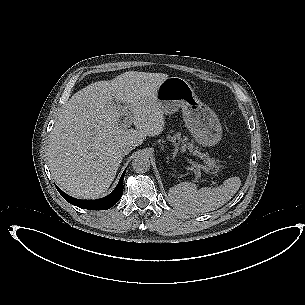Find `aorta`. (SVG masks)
Masks as SVG:
<instances>
[{"label": "aorta", "mask_w": 305, "mask_h": 305, "mask_svg": "<svg viewBox=\"0 0 305 305\" xmlns=\"http://www.w3.org/2000/svg\"><path fill=\"white\" fill-rule=\"evenodd\" d=\"M150 159L147 154H138L132 160V169L136 173H145L150 169Z\"/></svg>", "instance_id": "762f6f07"}]
</instances>
